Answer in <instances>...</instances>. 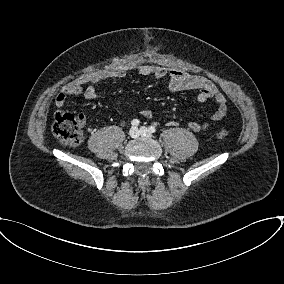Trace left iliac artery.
Listing matches in <instances>:
<instances>
[{
  "label": "left iliac artery",
  "instance_id": "1",
  "mask_svg": "<svg viewBox=\"0 0 284 284\" xmlns=\"http://www.w3.org/2000/svg\"><path fill=\"white\" fill-rule=\"evenodd\" d=\"M149 131H150L151 133H155V132H156V128H155L154 126H150V127H149Z\"/></svg>",
  "mask_w": 284,
  "mask_h": 284
}]
</instances>
